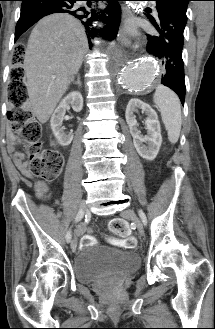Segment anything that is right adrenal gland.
Here are the masks:
<instances>
[{"label": "right adrenal gland", "mask_w": 215, "mask_h": 329, "mask_svg": "<svg viewBox=\"0 0 215 329\" xmlns=\"http://www.w3.org/2000/svg\"><path fill=\"white\" fill-rule=\"evenodd\" d=\"M73 84L79 85L81 87V80H80V74H77V81H72Z\"/></svg>", "instance_id": "1"}]
</instances>
